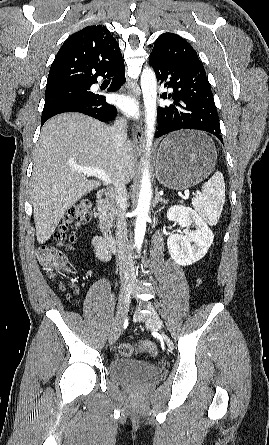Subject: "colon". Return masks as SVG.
<instances>
[{"mask_svg": "<svg viewBox=\"0 0 269 445\" xmlns=\"http://www.w3.org/2000/svg\"><path fill=\"white\" fill-rule=\"evenodd\" d=\"M90 206L88 199H81L74 203L64 216L61 227L55 233V244H44L37 249L40 263L53 277L68 266L67 251L75 241L72 229L90 221ZM138 350H145L152 355L156 353L155 345L150 341H142L137 345L123 343L120 346V353L124 357H131Z\"/></svg>", "mask_w": 269, "mask_h": 445, "instance_id": "5ec220e1", "label": "colon"}]
</instances>
